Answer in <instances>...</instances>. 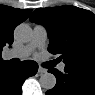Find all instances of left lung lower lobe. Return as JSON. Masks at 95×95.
<instances>
[{
	"label": "left lung lower lobe",
	"instance_id": "left-lung-lower-lobe-1",
	"mask_svg": "<svg viewBox=\"0 0 95 95\" xmlns=\"http://www.w3.org/2000/svg\"><path fill=\"white\" fill-rule=\"evenodd\" d=\"M64 71L49 69L57 83L47 95H95V70L66 65Z\"/></svg>",
	"mask_w": 95,
	"mask_h": 95
}]
</instances>
